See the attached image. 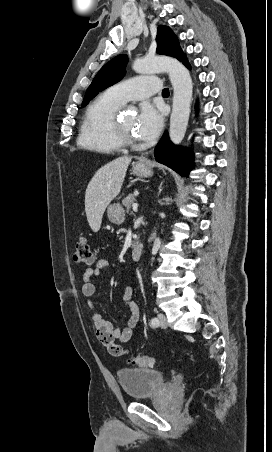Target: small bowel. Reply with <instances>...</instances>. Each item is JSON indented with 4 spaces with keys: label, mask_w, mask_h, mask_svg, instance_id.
I'll return each mask as SVG.
<instances>
[{
    "label": "small bowel",
    "mask_w": 272,
    "mask_h": 452,
    "mask_svg": "<svg viewBox=\"0 0 272 452\" xmlns=\"http://www.w3.org/2000/svg\"><path fill=\"white\" fill-rule=\"evenodd\" d=\"M110 267V262L107 259H99L92 267H88L83 271L82 294L88 299L89 308L92 311L91 319L96 329V336L98 340L109 350L112 355L121 356L124 354L116 353L112 349L114 347H121V344L128 342L133 334V330L139 321V308L134 300V290L132 286H127L123 292V302L130 309V317L127 325L124 328L115 326L110 321L102 318L101 314L95 310L92 301L95 295L96 288L93 283L94 278L99 276L103 271Z\"/></svg>",
    "instance_id": "small-bowel-1"
}]
</instances>
